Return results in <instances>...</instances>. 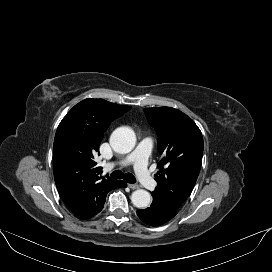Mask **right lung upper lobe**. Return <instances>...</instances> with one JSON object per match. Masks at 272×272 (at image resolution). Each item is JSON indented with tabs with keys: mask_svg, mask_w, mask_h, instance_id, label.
Returning a JSON list of instances; mask_svg holds the SVG:
<instances>
[{
	"mask_svg": "<svg viewBox=\"0 0 272 272\" xmlns=\"http://www.w3.org/2000/svg\"><path fill=\"white\" fill-rule=\"evenodd\" d=\"M130 106L88 98L75 105L60 122L53 145L54 179L59 194L81 220L101 209L106 195L116 187L115 179L99 175L94 156L103 133Z\"/></svg>",
	"mask_w": 272,
	"mask_h": 272,
	"instance_id": "right-lung-upper-lobe-1",
	"label": "right lung upper lobe"
}]
</instances>
